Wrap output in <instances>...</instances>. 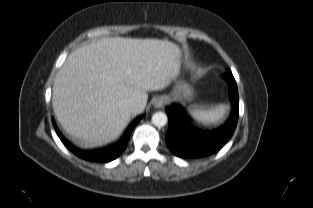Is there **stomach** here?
<instances>
[{
  "label": "stomach",
  "instance_id": "1",
  "mask_svg": "<svg viewBox=\"0 0 313 208\" xmlns=\"http://www.w3.org/2000/svg\"><path fill=\"white\" fill-rule=\"evenodd\" d=\"M174 98H188L192 95V88L184 81H178L171 94Z\"/></svg>",
  "mask_w": 313,
  "mask_h": 208
}]
</instances>
